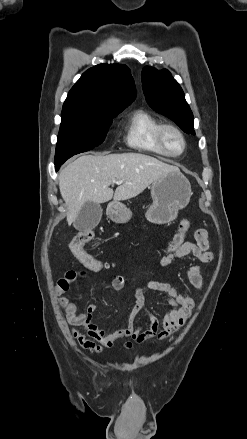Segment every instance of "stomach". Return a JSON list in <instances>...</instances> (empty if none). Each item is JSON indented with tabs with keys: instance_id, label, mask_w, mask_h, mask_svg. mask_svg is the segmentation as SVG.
<instances>
[{
	"instance_id": "1",
	"label": "stomach",
	"mask_w": 247,
	"mask_h": 439,
	"mask_svg": "<svg viewBox=\"0 0 247 439\" xmlns=\"http://www.w3.org/2000/svg\"><path fill=\"white\" fill-rule=\"evenodd\" d=\"M191 195L190 182L181 172H170L155 180L151 187L153 202L147 209V220L156 224L174 220L178 211L188 205ZM107 214L116 223H126L132 217L130 209L119 202L111 203Z\"/></svg>"
}]
</instances>
